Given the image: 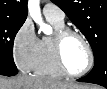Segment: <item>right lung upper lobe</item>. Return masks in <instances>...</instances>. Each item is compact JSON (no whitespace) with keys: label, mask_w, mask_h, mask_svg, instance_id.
<instances>
[{"label":"right lung upper lobe","mask_w":107,"mask_h":89,"mask_svg":"<svg viewBox=\"0 0 107 89\" xmlns=\"http://www.w3.org/2000/svg\"><path fill=\"white\" fill-rule=\"evenodd\" d=\"M0 17L25 21L27 17V0H0Z\"/></svg>","instance_id":"1"}]
</instances>
